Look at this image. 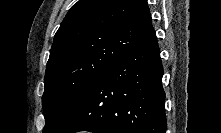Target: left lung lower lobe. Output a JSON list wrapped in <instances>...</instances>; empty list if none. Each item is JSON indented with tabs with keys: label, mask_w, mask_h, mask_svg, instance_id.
<instances>
[{
	"label": "left lung lower lobe",
	"mask_w": 221,
	"mask_h": 133,
	"mask_svg": "<svg viewBox=\"0 0 221 133\" xmlns=\"http://www.w3.org/2000/svg\"><path fill=\"white\" fill-rule=\"evenodd\" d=\"M162 76L152 29L97 77L56 133H165Z\"/></svg>",
	"instance_id": "1"
}]
</instances>
